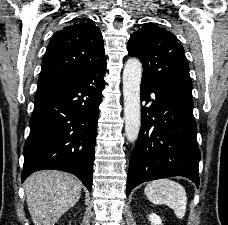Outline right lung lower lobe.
<instances>
[{
	"label": "right lung lower lobe",
	"mask_w": 228,
	"mask_h": 225,
	"mask_svg": "<svg viewBox=\"0 0 228 225\" xmlns=\"http://www.w3.org/2000/svg\"><path fill=\"white\" fill-rule=\"evenodd\" d=\"M106 64L66 82L38 88L24 146L22 182L37 170L76 175L90 191Z\"/></svg>",
	"instance_id": "right-lung-lower-lobe-1"
}]
</instances>
